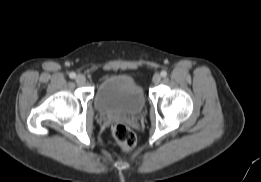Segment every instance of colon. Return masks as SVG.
I'll use <instances>...</instances> for the list:
<instances>
[{"instance_id":"obj_1","label":"colon","mask_w":261,"mask_h":182,"mask_svg":"<svg viewBox=\"0 0 261 182\" xmlns=\"http://www.w3.org/2000/svg\"><path fill=\"white\" fill-rule=\"evenodd\" d=\"M116 144L124 149L131 150L136 145V136L126 125L118 123L112 129Z\"/></svg>"}]
</instances>
